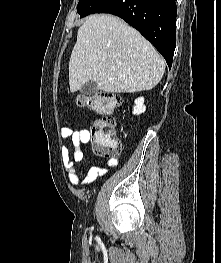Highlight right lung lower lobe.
Here are the masks:
<instances>
[{"mask_svg": "<svg viewBox=\"0 0 221 263\" xmlns=\"http://www.w3.org/2000/svg\"><path fill=\"white\" fill-rule=\"evenodd\" d=\"M93 13L124 19L155 46L171 68L176 47L175 0H105Z\"/></svg>", "mask_w": 221, "mask_h": 263, "instance_id": "obj_1", "label": "right lung lower lobe"}]
</instances>
